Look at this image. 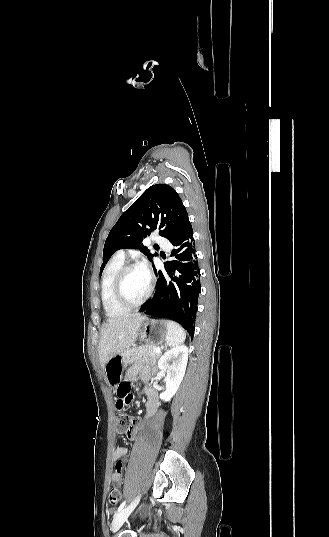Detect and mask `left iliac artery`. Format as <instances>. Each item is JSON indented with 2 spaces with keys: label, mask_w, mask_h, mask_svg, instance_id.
I'll list each match as a JSON object with an SVG mask.
<instances>
[{
  "label": "left iliac artery",
  "mask_w": 329,
  "mask_h": 537,
  "mask_svg": "<svg viewBox=\"0 0 329 537\" xmlns=\"http://www.w3.org/2000/svg\"><path fill=\"white\" fill-rule=\"evenodd\" d=\"M125 505H126V500L123 501V502L120 504V506H119L118 509H117V512H120V511L124 508Z\"/></svg>",
  "instance_id": "1"
}]
</instances>
